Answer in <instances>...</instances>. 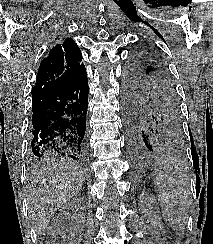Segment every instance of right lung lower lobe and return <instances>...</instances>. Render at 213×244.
<instances>
[{"label": "right lung lower lobe", "instance_id": "98d812e1", "mask_svg": "<svg viewBox=\"0 0 213 244\" xmlns=\"http://www.w3.org/2000/svg\"><path fill=\"white\" fill-rule=\"evenodd\" d=\"M88 81L84 70L69 84L32 93L30 148L34 157L85 156Z\"/></svg>", "mask_w": 213, "mask_h": 244}]
</instances>
